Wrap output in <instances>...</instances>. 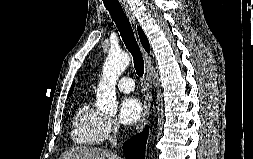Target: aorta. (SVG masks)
I'll return each mask as SVG.
<instances>
[{"label": "aorta", "instance_id": "obj_1", "mask_svg": "<svg viewBox=\"0 0 253 159\" xmlns=\"http://www.w3.org/2000/svg\"><path fill=\"white\" fill-rule=\"evenodd\" d=\"M130 63L127 53L110 51L103 66L102 77L97 87L96 107L106 114H116V83Z\"/></svg>", "mask_w": 253, "mask_h": 159}]
</instances>
